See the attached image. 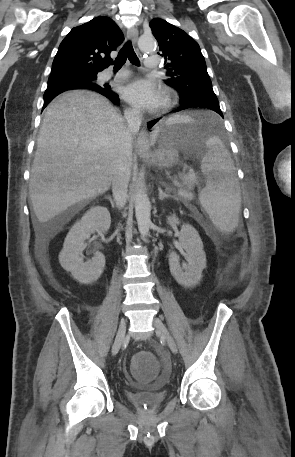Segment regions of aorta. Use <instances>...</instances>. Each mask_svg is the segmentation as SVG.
I'll use <instances>...</instances> for the list:
<instances>
[{
    "instance_id": "aorta-1",
    "label": "aorta",
    "mask_w": 295,
    "mask_h": 457,
    "mask_svg": "<svg viewBox=\"0 0 295 457\" xmlns=\"http://www.w3.org/2000/svg\"><path fill=\"white\" fill-rule=\"evenodd\" d=\"M139 48L142 51H152L155 47V40L152 35H142L138 40ZM151 204L146 194L145 183L142 178L138 179L135 194V215L138 229L142 237L147 236L151 226Z\"/></svg>"
}]
</instances>
